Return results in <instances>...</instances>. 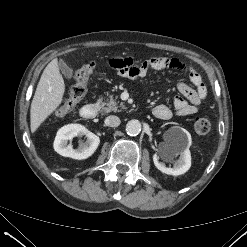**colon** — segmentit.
<instances>
[{
	"label": "colon",
	"instance_id": "1",
	"mask_svg": "<svg viewBox=\"0 0 247 247\" xmlns=\"http://www.w3.org/2000/svg\"><path fill=\"white\" fill-rule=\"evenodd\" d=\"M94 68L93 63H87L77 69L68 91V97L60 106L58 113L66 114L70 112L83 99L86 94L87 82ZM194 130L198 135H205L211 130V123L207 118H197L194 122Z\"/></svg>",
	"mask_w": 247,
	"mask_h": 247
}]
</instances>
